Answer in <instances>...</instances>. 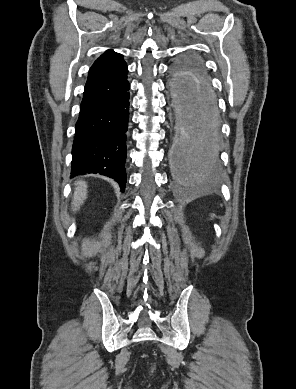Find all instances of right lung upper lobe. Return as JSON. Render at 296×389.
<instances>
[{
	"label": "right lung upper lobe",
	"mask_w": 296,
	"mask_h": 389,
	"mask_svg": "<svg viewBox=\"0 0 296 389\" xmlns=\"http://www.w3.org/2000/svg\"><path fill=\"white\" fill-rule=\"evenodd\" d=\"M127 65L123 56L107 50L89 70L81 105H86L116 94L128 83Z\"/></svg>",
	"instance_id": "cb5924a9"
}]
</instances>
